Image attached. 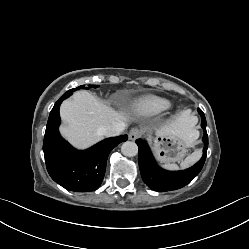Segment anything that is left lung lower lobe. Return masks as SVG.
<instances>
[{
    "label": "left lung lower lobe",
    "instance_id": "1",
    "mask_svg": "<svg viewBox=\"0 0 249 249\" xmlns=\"http://www.w3.org/2000/svg\"><path fill=\"white\" fill-rule=\"evenodd\" d=\"M198 112L201 115V126L204 130L202 139L204 142L203 156L194 166L190 167L189 169L183 171H166L160 168L156 164L147 143L142 139L136 140V143L139 147L138 162L141 176L145 184L152 190L166 192L182 188L190 183L201 171L207 155L208 135L206 132L205 115L200 109H198Z\"/></svg>",
    "mask_w": 249,
    "mask_h": 249
}]
</instances>
